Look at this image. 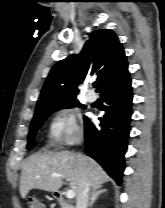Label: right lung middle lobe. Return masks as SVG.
<instances>
[{
    "instance_id": "dd1d6c3e",
    "label": "right lung middle lobe",
    "mask_w": 165,
    "mask_h": 208,
    "mask_svg": "<svg viewBox=\"0 0 165 208\" xmlns=\"http://www.w3.org/2000/svg\"><path fill=\"white\" fill-rule=\"evenodd\" d=\"M74 106H78L82 108L85 107L84 105L80 104L77 100H74L64 103L53 104L36 112L30 125L27 149L32 147V145L34 144V138L37 130L41 127V125L44 123V121L53 111L61 108H72Z\"/></svg>"
}]
</instances>
